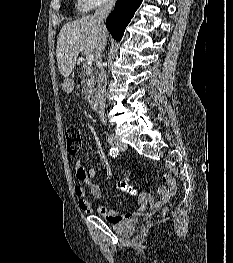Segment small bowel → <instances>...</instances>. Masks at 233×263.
Returning a JSON list of instances; mask_svg holds the SVG:
<instances>
[{
	"label": "small bowel",
	"instance_id": "1",
	"mask_svg": "<svg viewBox=\"0 0 233 263\" xmlns=\"http://www.w3.org/2000/svg\"><path fill=\"white\" fill-rule=\"evenodd\" d=\"M75 173L78 181L83 183L89 188L91 195L95 198H100L102 196V192L100 187L94 181L95 170L93 168L87 169L82 165L80 161H77L75 164ZM134 175V172L132 173ZM163 185L158 187V199L154 200L148 194H142L139 197V202L141 205L140 212L143 211L147 205H149V209L152 211H157L162 208L165 204H167L170 198L176 192V182L175 179L171 175H163L162 178ZM74 193L77 198L79 208L85 213H92L96 211L99 215L103 216L110 223H118L125 219L131 218L132 214H120L115 210H112L105 206H97L93 207L90 202L86 198V190L81 185H75Z\"/></svg>",
	"mask_w": 233,
	"mask_h": 263
}]
</instances>
